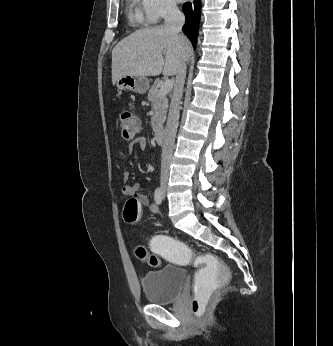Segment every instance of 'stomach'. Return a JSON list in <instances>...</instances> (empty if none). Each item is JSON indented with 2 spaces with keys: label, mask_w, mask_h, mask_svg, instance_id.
<instances>
[{
  "label": "stomach",
  "mask_w": 333,
  "mask_h": 346,
  "mask_svg": "<svg viewBox=\"0 0 333 346\" xmlns=\"http://www.w3.org/2000/svg\"><path fill=\"white\" fill-rule=\"evenodd\" d=\"M116 85L119 90L144 94L149 88V81L144 76L125 75L117 80Z\"/></svg>",
  "instance_id": "stomach-1"
}]
</instances>
